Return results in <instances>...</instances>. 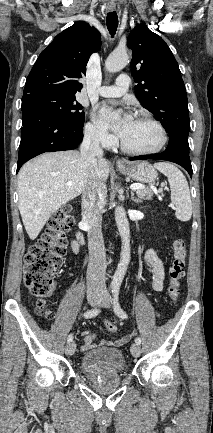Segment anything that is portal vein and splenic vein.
<instances>
[{"label": "portal vein and splenic vein", "instance_id": "1", "mask_svg": "<svg viewBox=\"0 0 213 433\" xmlns=\"http://www.w3.org/2000/svg\"><path fill=\"white\" fill-rule=\"evenodd\" d=\"M72 185V183L71 182H68L67 183V186H71ZM130 188L132 189V190H139V189H143L144 188V185H141V184H132L131 186H130ZM153 190H155V188L154 187H151ZM159 199H161V197H159Z\"/></svg>", "mask_w": 213, "mask_h": 433}]
</instances>
